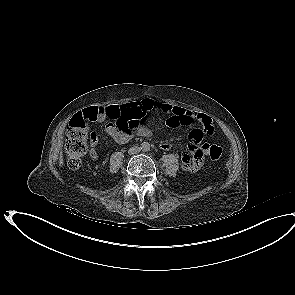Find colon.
Returning <instances> with one entry per match:
<instances>
[{
  "label": "colon",
  "mask_w": 295,
  "mask_h": 295,
  "mask_svg": "<svg viewBox=\"0 0 295 295\" xmlns=\"http://www.w3.org/2000/svg\"><path fill=\"white\" fill-rule=\"evenodd\" d=\"M107 118L112 119L119 129L134 128L137 122L132 121L130 116L122 108L106 113ZM88 122L81 116H76L70 123L65 138V152L67 165L71 169H77L81 166L82 157L86 151V145L89 135L91 136ZM209 157L213 161H218L222 157V149L217 145L209 148Z\"/></svg>",
  "instance_id": "obj_1"
}]
</instances>
